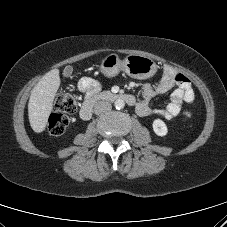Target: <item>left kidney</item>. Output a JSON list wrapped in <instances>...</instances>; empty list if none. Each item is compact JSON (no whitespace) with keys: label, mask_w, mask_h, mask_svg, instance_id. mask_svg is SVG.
Segmentation results:
<instances>
[{"label":"left kidney","mask_w":227,"mask_h":227,"mask_svg":"<svg viewBox=\"0 0 227 227\" xmlns=\"http://www.w3.org/2000/svg\"><path fill=\"white\" fill-rule=\"evenodd\" d=\"M153 131L155 132L156 135L158 136H165L168 133L167 126L164 121L161 119H155L152 124Z\"/></svg>","instance_id":"1"}]
</instances>
